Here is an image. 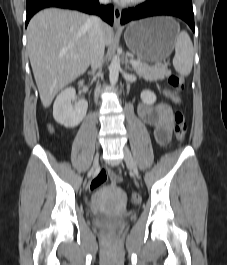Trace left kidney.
Listing matches in <instances>:
<instances>
[{
    "instance_id": "1",
    "label": "left kidney",
    "mask_w": 227,
    "mask_h": 265,
    "mask_svg": "<svg viewBox=\"0 0 227 265\" xmlns=\"http://www.w3.org/2000/svg\"><path fill=\"white\" fill-rule=\"evenodd\" d=\"M141 99L146 104H153L156 101V95L150 90H144L141 93Z\"/></svg>"
}]
</instances>
